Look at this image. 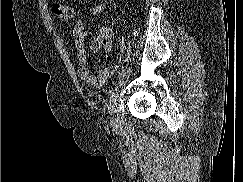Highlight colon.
<instances>
[{"label":"colon","mask_w":243,"mask_h":182,"mask_svg":"<svg viewBox=\"0 0 243 182\" xmlns=\"http://www.w3.org/2000/svg\"><path fill=\"white\" fill-rule=\"evenodd\" d=\"M53 12L62 20H70L73 17L72 7L65 3H55L53 5Z\"/></svg>","instance_id":"obj_1"}]
</instances>
